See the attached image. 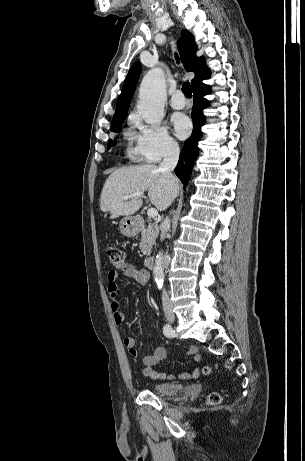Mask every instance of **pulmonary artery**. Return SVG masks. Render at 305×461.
<instances>
[{
  "mask_svg": "<svg viewBox=\"0 0 305 461\" xmlns=\"http://www.w3.org/2000/svg\"><path fill=\"white\" fill-rule=\"evenodd\" d=\"M169 104L173 109H176V110L183 109L186 105V100L182 92L181 91L174 92L169 101Z\"/></svg>",
  "mask_w": 305,
  "mask_h": 461,
  "instance_id": "obj_1",
  "label": "pulmonary artery"
}]
</instances>
